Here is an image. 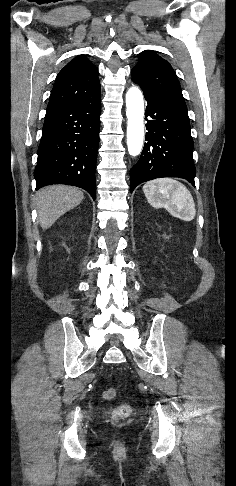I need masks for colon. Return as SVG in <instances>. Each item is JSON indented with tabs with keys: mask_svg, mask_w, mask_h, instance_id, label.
Listing matches in <instances>:
<instances>
[{
	"mask_svg": "<svg viewBox=\"0 0 236 486\" xmlns=\"http://www.w3.org/2000/svg\"><path fill=\"white\" fill-rule=\"evenodd\" d=\"M116 394H117L116 388H109L103 392L102 396L105 400H111L116 396ZM131 411H132L131 406L127 403H124L114 408L112 412V416L115 420H122L127 418L131 414Z\"/></svg>",
	"mask_w": 236,
	"mask_h": 486,
	"instance_id": "5ec220e1",
	"label": "colon"
}]
</instances>
